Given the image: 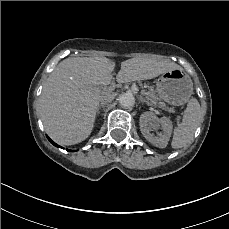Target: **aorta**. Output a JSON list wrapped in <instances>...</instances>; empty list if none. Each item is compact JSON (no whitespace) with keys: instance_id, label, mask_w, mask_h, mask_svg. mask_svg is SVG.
Instances as JSON below:
<instances>
[{"instance_id":"1","label":"aorta","mask_w":229,"mask_h":229,"mask_svg":"<svg viewBox=\"0 0 229 229\" xmlns=\"http://www.w3.org/2000/svg\"><path fill=\"white\" fill-rule=\"evenodd\" d=\"M119 104L123 108H131L135 104V97L130 92L123 93L119 97Z\"/></svg>"}]
</instances>
